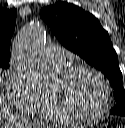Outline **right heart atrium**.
<instances>
[{"mask_svg": "<svg viewBox=\"0 0 125 128\" xmlns=\"http://www.w3.org/2000/svg\"><path fill=\"white\" fill-rule=\"evenodd\" d=\"M11 102L15 109L31 114L37 107L42 94L23 74L12 69L7 74Z\"/></svg>", "mask_w": 125, "mask_h": 128, "instance_id": "right-heart-atrium-1", "label": "right heart atrium"}]
</instances>
